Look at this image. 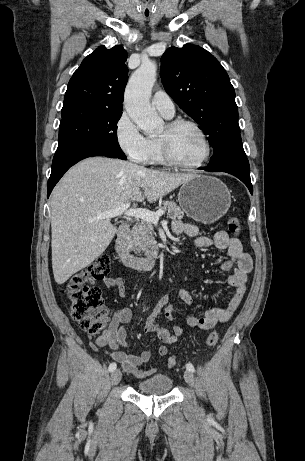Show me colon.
I'll return each mask as SVG.
<instances>
[{
  "mask_svg": "<svg viewBox=\"0 0 305 461\" xmlns=\"http://www.w3.org/2000/svg\"><path fill=\"white\" fill-rule=\"evenodd\" d=\"M227 226L230 232L239 234L241 226L238 218L229 217ZM111 271V260L108 255L98 256L87 267L71 275L63 284L71 315L74 321L86 332L97 334L105 329L108 311L103 307V297L94 282L104 279ZM207 345L214 346L218 342V334L212 332L207 337ZM178 363L175 356L168 359L167 365L173 368Z\"/></svg>",
  "mask_w": 305,
  "mask_h": 461,
  "instance_id": "5ec220e1",
  "label": "colon"
}]
</instances>
